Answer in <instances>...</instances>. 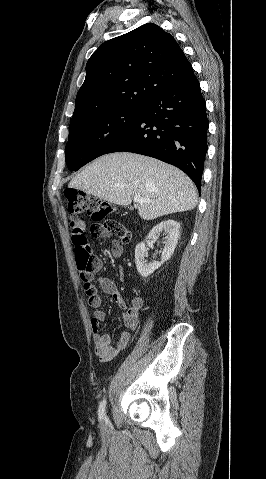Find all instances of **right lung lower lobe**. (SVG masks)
Wrapping results in <instances>:
<instances>
[{
  "instance_id": "right-lung-lower-lobe-1",
  "label": "right lung lower lobe",
  "mask_w": 266,
  "mask_h": 479,
  "mask_svg": "<svg viewBox=\"0 0 266 479\" xmlns=\"http://www.w3.org/2000/svg\"><path fill=\"white\" fill-rule=\"evenodd\" d=\"M208 125L206 103L193 75L152 98L104 154L126 151L157 158L180 168L200 190Z\"/></svg>"
}]
</instances>
